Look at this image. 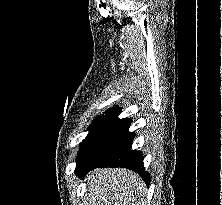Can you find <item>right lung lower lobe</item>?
Instances as JSON below:
<instances>
[{
	"label": "right lung lower lobe",
	"instance_id": "right-lung-lower-lobe-1",
	"mask_svg": "<svg viewBox=\"0 0 222 205\" xmlns=\"http://www.w3.org/2000/svg\"><path fill=\"white\" fill-rule=\"evenodd\" d=\"M121 109L115 108L92 131L77 156L75 173L83 177L97 167H121L137 172L150 184V176L143 167V154L133 151L135 134L129 132L130 119H118Z\"/></svg>",
	"mask_w": 222,
	"mask_h": 205
}]
</instances>
